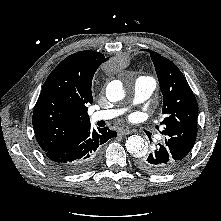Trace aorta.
Here are the masks:
<instances>
[{"label":"aorta","mask_w":221,"mask_h":221,"mask_svg":"<svg viewBox=\"0 0 221 221\" xmlns=\"http://www.w3.org/2000/svg\"><path fill=\"white\" fill-rule=\"evenodd\" d=\"M106 96L110 102H117L125 97L123 84L119 80L111 81L106 88ZM126 149L134 157H143L148 150L147 142L139 135H132L126 140Z\"/></svg>","instance_id":"1"}]
</instances>
